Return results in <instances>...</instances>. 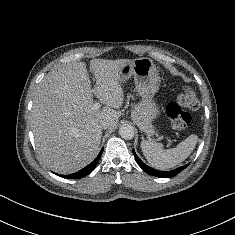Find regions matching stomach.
Segmentation results:
<instances>
[{"mask_svg": "<svg viewBox=\"0 0 235 235\" xmlns=\"http://www.w3.org/2000/svg\"><path fill=\"white\" fill-rule=\"evenodd\" d=\"M120 81L124 82L133 76L136 90L141 97L140 110L143 118L152 124L159 114V109L153 101L159 89V76L155 64L149 58H137L123 65L119 71Z\"/></svg>", "mask_w": 235, "mask_h": 235, "instance_id": "stomach-1", "label": "stomach"}]
</instances>
